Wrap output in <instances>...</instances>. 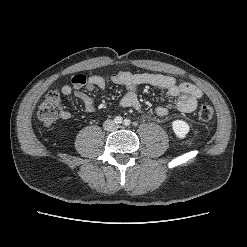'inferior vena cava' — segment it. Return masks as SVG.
Masks as SVG:
<instances>
[{
  "label": "inferior vena cava",
  "instance_id": "inferior-vena-cava-1",
  "mask_svg": "<svg viewBox=\"0 0 247 247\" xmlns=\"http://www.w3.org/2000/svg\"><path fill=\"white\" fill-rule=\"evenodd\" d=\"M104 130L114 131L116 129V124L114 121L107 119L103 124Z\"/></svg>",
  "mask_w": 247,
  "mask_h": 247
}]
</instances>
